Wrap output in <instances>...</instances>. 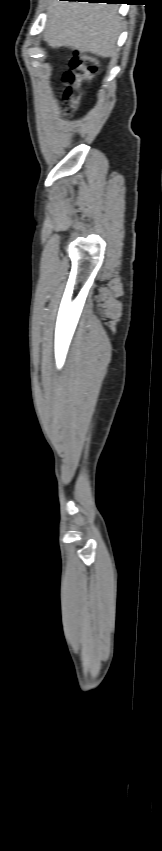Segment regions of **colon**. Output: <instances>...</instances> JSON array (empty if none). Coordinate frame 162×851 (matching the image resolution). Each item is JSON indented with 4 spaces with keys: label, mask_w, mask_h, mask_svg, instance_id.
I'll return each instance as SVG.
<instances>
[{
    "label": "colon",
    "mask_w": 162,
    "mask_h": 851,
    "mask_svg": "<svg viewBox=\"0 0 162 851\" xmlns=\"http://www.w3.org/2000/svg\"><path fill=\"white\" fill-rule=\"evenodd\" d=\"M97 68L98 62L93 56L78 52L74 53L70 61V67L63 76L66 85V95L72 99L77 98L82 85L93 76ZM73 110L74 101H71L65 110V114L71 116Z\"/></svg>",
    "instance_id": "5ec220e1"
}]
</instances>
